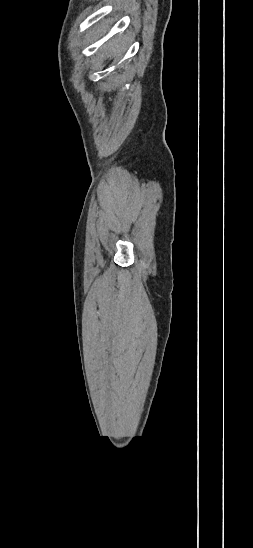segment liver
<instances>
[{
	"instance_id": "obj_1",
	"label": "liver",
	"mask_w": 253,
	"mask_h": 548,
	"mask_svg": "<svg viewBox=\"0 0 253 548\" xmlns=\"http://www.w3.org/2000/svg\"><path fill=\"white\" fill-rule=\"evenodd\" d=\"M108 48L114 55L119 56L125 51L124 40L122 38H116L113 41V46Z\"/></svg>"
}]
</instances>
